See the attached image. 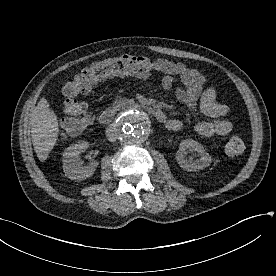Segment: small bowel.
Wrapping results in <instances>:
<instances>
[{
  "label": "small bowel",
  "instance_id": "1",
  "mask_svg": "<svg viewBox=\"0 0 276 276\" xmlns=\"http://www.w3.org/2000/svg\"><path fill=\"white\" fill-rule=\"evenodd\" d=\"M155 69L162 73L161 84L164 90H172L176 98L191 110H200L211 120L201 121L195 125V131L203 137L226 136L233 128L225 117L231 112L229 106L217 101V91L206 86L205 77L197 70L179 62L167 59L154 60ZM167 129L177 131L182 127L178 119H167Z\"/></svg>",
  "mask_w": 276,
  "mask_h": 276
}]
</instances>
